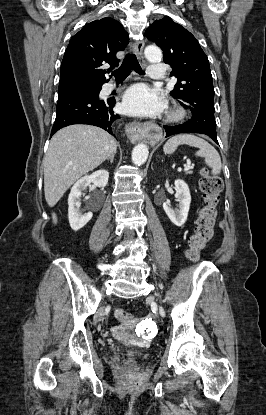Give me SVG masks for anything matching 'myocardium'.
Instances as JSON below:
<instances>
[{
	"label": "myocardium",
	"instance_id": "obj_1",
	"mask_svg": "<svg viewBox=\"0 0 266 415\" xmlns=\"http://www.w3.org/2000/svg\"><path fill=\"white\" fill-rule=\"evenodd\" d=\"M186 115V111L180 106H173L167 113V120L176 122L182 120Z\"/></svg>",
	"mask_w": 266,
	"mask_h": 415
}]
</instances>
